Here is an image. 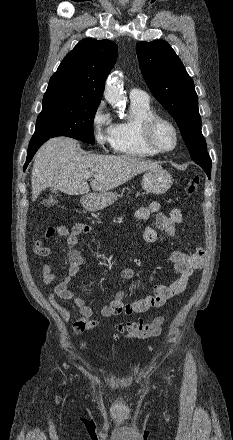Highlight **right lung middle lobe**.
<instances>
[{"mask_svg":"<svg viewBox=\"0 0 233 440\" xmlns=\"http://www.w3.org/2000/svg\"><path fill=\"white\" fill-rule=\"evenodd\" d=\"M99 102L51 100L43 102L34 139L68 136L94 144L93 120Z\"/></svg>","mask_w":233,"mask_h":440,"instance_id":"obj_1","label":"right lung middle lobe"}]
</instances>
